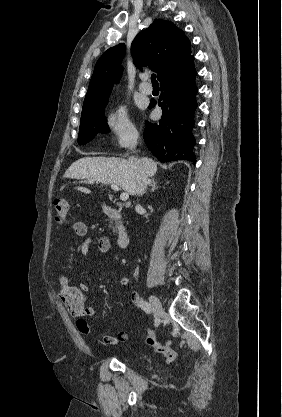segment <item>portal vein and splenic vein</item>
I'll return each mask as SVG.
<instances>
[{"instance_id": "18ae733b", "label": "portal vein and splenic vein", "mask_w": 282, "mask_h": 417, "mask_svg": "<svg viewBox=\"0 0 282 417\" xmlns=\"http://www.w3.org/2000/svg\"><path fill=\"white\" fill-rule=\"evenodd\" d=\"M89 182H94V180H89ZM111 188H113V190H119V186H117V184H111ZM120 198L121 200H128L129 198L128 192H121Z\"/></svg>"}]
</instances>
